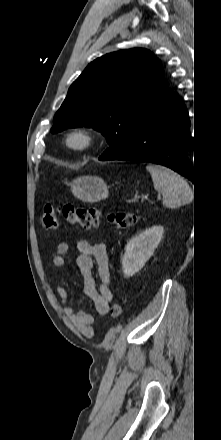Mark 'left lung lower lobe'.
<instances>
[{
    "label": "left lung lower lobe",
    "instance_id": "obj_1",
    "mask_svg": "<svg viewBox=\"0 0 221 440\" xmlns=\"http://www.w3.org/2000/svg\"><path fill=\"white\" fill-rule=\"evenodd\" d=\"M190 126L184 103L167 86L138 119L128 148L115 159L161 164L195 182L188 158V150L193 146Z\"/></svg>",
    "mask_w": 221,
    "mask_h": 440
}]
</instances>
